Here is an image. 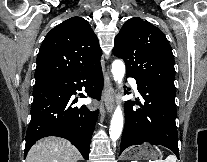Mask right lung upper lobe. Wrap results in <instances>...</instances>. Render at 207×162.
<instances>
[{
    "label": "right lung upper lobe",
    "instance_id": "cb5924a9",
    "mask_svg": "<svg viewBox=\"0 0 207 162\" xmlns=\"http://www.w3.org/2000/svg\"><path fill=\"white\" fill-rule=\"evenodd\" d=\"M101 53L89 23L72 17L46 35L36 61L35 86L97 66Z\"/></svg>",
    "mask_w": 207,
    "mask_h": 162
}]
</instances>
